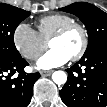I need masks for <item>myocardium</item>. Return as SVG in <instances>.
Here are the masks:
<instances>
[{"mask_svg":"<svg viewBox=\"0 0 107 107\" xmlns=\"http://www.w3.org/2000/svg\"><path fill=\"white\" fill-rule=\"evenodd\" d=\"M73 28H78L81 31L83 37L80 49L73 56L70 57V60L77 61L83 57L89 46V33L84 24L77 21H72L70 23L65 24L52 35L49 40V43L53 40H57L64 37Z\"/></svg>","mask_w":107,"mask_h":107,"instance_id":"1","label":"myocardium"}]
</instances>
